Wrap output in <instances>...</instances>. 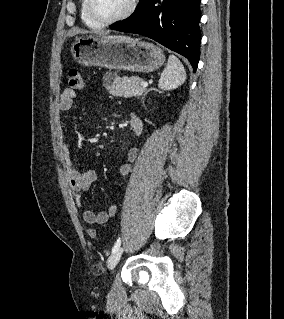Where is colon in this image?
<instances>
[{"mask_svg":"<svg viewBox=\"0 0 284 319\" xmlns=\"http://www.w3.org/2000/svg\"><path fill=\"white\" fill-rule=\"evenodd\" d=\"M67 84L72 89H82L84 87V79L79 69L70 68L67 71ZM88 235L90 238L94 239L96 237V231L94 229H89Z\"/></svg>","mask_w":284,"mask_h":319,"instance_id":"5ec220e1","label":"colon"}]
</instances>
